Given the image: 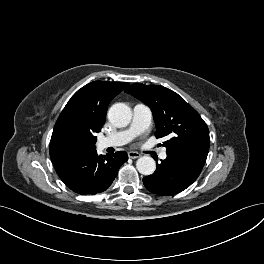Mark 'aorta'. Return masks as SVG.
<instances>
[{
	"label": "aorta",
	"instance_id": "obj_1",
	"mask_svg": "<svg viewBox=\"0 0 264 264\" xmlns=\"http://www.w3.org/2000/svg\"><path fill=\"white\" fill-rule=\"evenodd\" d=\"M108 119L118 127L127 126L132 119V111L124 103L112 105L108 111ZM137 170L143 175H151L156 169V163L150 156H142L136 162Z\"/></svg>",
	"mask_w": 264,
	"mask_h": 264
}]
</instances>
